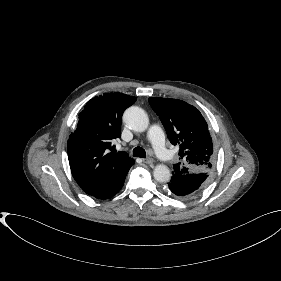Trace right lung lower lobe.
<instances>
[{
	"mask_svg": "<svg viewBox=\"0 0 281 281\" xmlns=\"http://www.w3.org/2000/svg\"><path fill=\"white\" fill-rule=\"evenodd\" d=\"M124 180H125V178L122 180V182L117 187H115L111 192H109L105 196L101 197L100 199H108V198L114 196L122 188V186L124 184Z\"/></svg>",
	"mask_w": 281,
	"mask_h": 281,
	"instance_id": "1",
	"label": "right lung lower lobe"
}]
</instances>
